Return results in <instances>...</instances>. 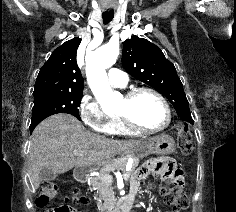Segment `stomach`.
Here are the masks:
<instances>
[{"mask_svg": "<svg viewBox=\"0 0 236 212\" xmlns=\"http://www.w3.org/2000/svg\"><path fill=\"white\" fill-rule=\"evenodd\" d=\"M175 150V142L172 137L166 134L154 136L147 141L133 147L126 156L134 159L144 158L149 154L167 155Z\"/></svg>", "mask_w": 236, "mask_h": 212, "instance_id": "1", "label": "stomach"}]
</instances>
